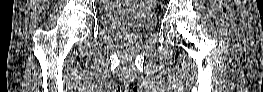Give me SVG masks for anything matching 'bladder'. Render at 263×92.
Listing matches in <instances>:
<instances>
[{
	"instance_id": "bladder-1",
	"label": "bladder",
	"mask_w": 263,
	"mask_h": 92,
	"mask_svg": "<svg viewBox=\"0 0 263 92\" xmlns=\"http://www.w3.org/2000/svg\"><path fill=\"white\" fill-rule=\"evenodd\" d=\"M101 21L112 36L127 42L141 41L156 25L154 13L149 7L109 9L103 12Z\"/></svg>"
}]
</instances>
